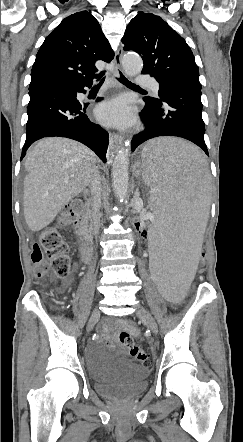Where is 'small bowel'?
I'll list each match as a JSON object with an SVG mask.
<instances>
[{"label":"small bowel","instance_id":"obj_1","mask_svg":"<svg viewBox=\"0 0 243 442\" xmlns=\"http://www.w3.org/2000/svg\"><path fill=\"white\" fill-rule=\"evenodd\" d=\"M70 280L65 282V285L69 284ZM119 329H127L132 332L134 335H137L138 332L136 328L129 322L124 320H118L115 324H111L109 321H105L101 330V341L107 344L108 346H114L117 341V333Z\"/></svg>","mask_w":243,"mask_h":442}]
</instances>
